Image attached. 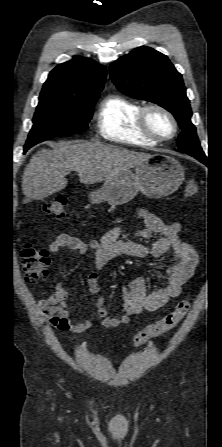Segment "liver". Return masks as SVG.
Instances as JSON below:
<instances>
[{
	"instance_id": "obj_1",
	"label": "liver",
	"mask_w": 222,
	"mask_h": 447,
	"mask_svg": "<svg viewBox=\"0 0 222 447\" xmlns=\"http://www.w3.org/2000/svg\"><path fill=\"white\" fill-rule=\"evenodd\" d=\"M99 142H65L53 150L41 149L32 156L22 177L24 203L40 200L67 186V174L76 171L82 184H94L130 170L149 158Z\"/></svg>"
}]
</instances>
